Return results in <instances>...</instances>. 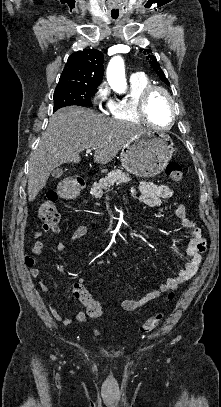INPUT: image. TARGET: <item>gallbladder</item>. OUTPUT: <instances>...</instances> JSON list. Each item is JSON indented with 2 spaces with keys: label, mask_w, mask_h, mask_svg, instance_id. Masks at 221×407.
<instances>
[{
  "label": "gallbladder",
  "mask_w": 221,
  "mask_h": 407,
  "mask_svg": "<svg viewBox=\"0 0 221 407\" xmlns=\"http://www.w3.org/2000/svg\"><path fill=\"white\" fill-rule=\"evenodd\" d=\"M62 174H63V170L60 169V168H57V169L53 170L52 173H51L52 177H54V178H58Z\"/></svg>",
  "instance_id": "bac80fb5"
}]
</instances>
